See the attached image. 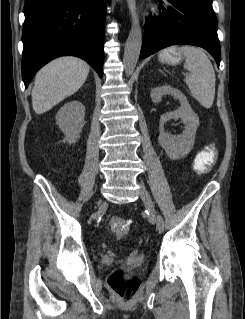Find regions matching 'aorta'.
<instances>
[{"label": "aorta", "instance_id": "obj_1", "mask_svg": "<svg viewBox=\"0 0 245 319\" xmlns=\"http://www.w3.org/2000/svg\"><path fill=\"white\" fill-rule=\"evenodd\" d=\"M127 4L131 14L132 26L125 44L123 64L125 73L132 75L139 59L143 36L137 14L136 0H127Z\"/></svg>", "mask_w": 245, "mask_h": 319}]
</instances>
